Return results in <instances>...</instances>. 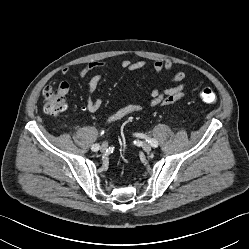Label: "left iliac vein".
<instances>
[{
    "label": "left iliac vein",
    "mask_w": 249,
    "mask_h": 249,
    "mask_svg": "<svg viewBox=\"0 0 249 249\" xmlns=\"http://www.w3.org/2000/svg\"><path fill=\"white\" fill-rule=\"evenodd\" d=\"M142 148H143V150L145 151V152H147V153H149L151 150H152V146H151V144L150 143H144L143 145H142Z\"/></svg>",
    "instance_id": "4c4485c4"
}]
</instances>
